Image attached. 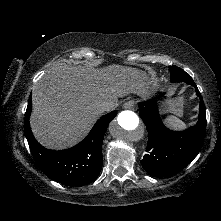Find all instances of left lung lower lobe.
<instances>
[{
	"label": "left lung lower lobe",
	"mask_w": 221,
	"mask_h": 221,
	"mask_svg": "<svg viewBox=\"0 0 221 221\" xmlns=\"http://www.w3.org/2000/svg\"><path fill=\"white\" fill-rule=\"evenodd\" d=\"M200 99L197 124L184 131L166 128L159 116L154 99L139 103L140 116L146 124L148 143L141 164L145 171L154 177H166L183 170L199 153L205 132L206 113L204 101L194 83L188 80Z\"/></svg>",
	"instance_id": "1"
}]
</instances>
